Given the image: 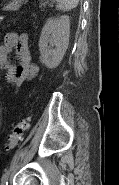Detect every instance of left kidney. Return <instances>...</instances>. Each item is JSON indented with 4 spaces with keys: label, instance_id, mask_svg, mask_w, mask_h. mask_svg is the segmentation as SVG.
I'll list each match as a JSON object with an SVG mask.
<instances>
[{
    "label": "left kidney",
    "instance_id": "left-kidney-1",
    "mask_svg": "<svg viewBox=\"0 0 119 185\" xmlns=\"http://www.w3.org/2000/svg\"><path fill=\"white\" fill-rule=\"evenodd\" d=\"M69 35V16L62 15L47 20L39 39L40 62L47 68L54 69L62 61L69 45Z\"/></svg>",
    "mask_w": 119,
    "mask_h": 185
}]
</instances>
